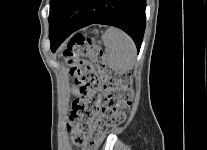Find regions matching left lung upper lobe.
<instances>
[{"label":"left lung upper lobe","instance_id":"obj_1","mask_svg":"<svg viewBox=\"0 0 207 150\" xmlns=\"http://www.w3.org/2000/svg\"><path fill=\"white\" fill-rule=\"evenodd\" d=\"M68 0H51L50 1V14H49V29L55 24L63 7Z\"/></svg>","mask_w":207,"mask_h":150}]
</instances>
